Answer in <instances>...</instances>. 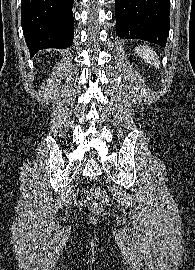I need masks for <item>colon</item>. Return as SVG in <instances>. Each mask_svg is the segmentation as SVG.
Returning a JSON list of instances; mask_svg holds the SVG:
<instances>
[{
	"label": "colon",
	"instance_id": "obj_1",
	"mask_svg": "<svg viewBox=\"0 0 195 270\" xmlns=\"http://www.w3.org/2000/svg\"><path fill=\"white\" fill-rule=\"evenodd\" d=\"M91 195L98 197L101 203L92 202L90 209L93 213H100L102 211V203H107L109 201V196L107 193L100 191L96 187H92L89 190H80L76 192L74 201L76 204H83L90 198Z\"/></svg>",
	"mask_w": 195,
	"mask_h": 270
}]
</instances>
